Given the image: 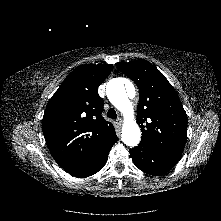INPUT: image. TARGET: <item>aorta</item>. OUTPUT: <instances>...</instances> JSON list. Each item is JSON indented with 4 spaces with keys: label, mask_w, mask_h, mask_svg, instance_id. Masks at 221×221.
I'll return each mask as SVG.
<instances>
[{
    "label": "aorta",
    "mask_w": 221,
    "mask_h": 221,
    "mask_svg": "<svg viewBox=\"0 0 221 221\" xmlns=\"http://www.w3.org/2000/svg\"><path fill=\"white\" fill-rule=\"evenodd\" d=\"M130 92L134 93L135 88L130 83ZM106 93L109 101L115 106L124 116L125 122L122 128V141L130 147L138 145L141 139V131L134 120L133 105L130 102L124 83L121 79H112L106 86Z\"/></svg>",
    "instance_id": "obj_1"
}]
</instances>
